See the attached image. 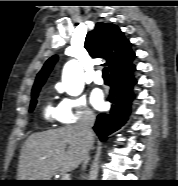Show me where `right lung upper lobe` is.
Here are the masks:
<instances>
[{
    "label": "right lung upper lobe",
    "mask_w": 178,
    "mask_h": 186,
    "mask_svg": "<svg viewBox=\"0 0 178 186\" xmlns=\"http://www.w3.org/2000/svg\"><path fill=\"white\" fill-rule=\"evenodd\" d=\"M85 49L91 57L105 59L104 65L108 66L110 73L131 63L135 58L131 43L125 39L123 32L109 23L96 24L94 30L86 35ZM56 61L57 56L46 61L36 77L32 94L40 90Z\"/></svg>",
    "instance_id": "cb5924a9"
}]
</instances>
